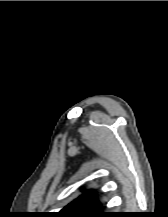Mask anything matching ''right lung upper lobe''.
<instances>
[{"mask_svg": "<svg viewBox=\"0 0 168 217\" xmlns=\"http://www.w3.org/2000/svg\"><path fill=\"white\" fill-rule=\"evenodd\" d=\"M111 213L103 212L96 193L92 190L85 191L80 197L65 206L56 217H107Z\"/></svg>", "mask_w": 168, "mask_h": 217, "instance_id": "right-lung-upper-lobe-1", "label": "right lung upper lobe"}]
</instances>
